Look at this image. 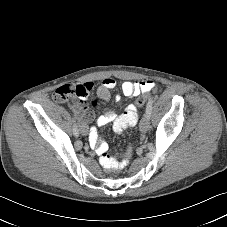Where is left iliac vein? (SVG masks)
I'll use <instances>...</instances> for the list:
<instances>
[{
    "instance_id": "4c4485c4",
    "label": "left iliac vein",
    "mask_w": 227,
    "mask_h": 227,
    "mask_svg": "<svg viewBox=\"0 0 227 227\" xmlns=\"http://www.w3.org/2000/svg\"><path fill=\"white\" fill-rule=\"evenodd\" d=\"M139 127H140V131L143 132V133L147 132L149 130L150 117L147 114H145L143 116V118L141 119Z\"/></svg>"
}]
</instances>
